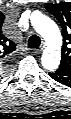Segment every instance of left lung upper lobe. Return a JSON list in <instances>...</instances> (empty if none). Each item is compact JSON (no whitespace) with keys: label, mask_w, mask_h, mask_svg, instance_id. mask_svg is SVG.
<instances>
[{"label":"left lung upper lobe","mask_w":71,"mask_h":119,"mask_svg":"<svg viewBox=\"0 0 71 119\" xmlns=\"http://www.w3.org/2000/svg\"><path fill=\"white\" fill-rule=\"evenodd\" d=\"M44 7L57 18L62 26L63 46L59 67L71 69V2L46 3Z\"/></svg>","instance_id":"5c2ea615"}]
</instances>
